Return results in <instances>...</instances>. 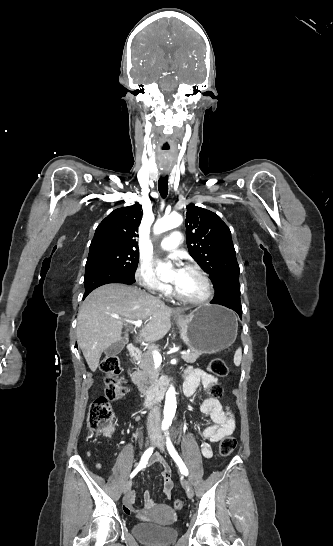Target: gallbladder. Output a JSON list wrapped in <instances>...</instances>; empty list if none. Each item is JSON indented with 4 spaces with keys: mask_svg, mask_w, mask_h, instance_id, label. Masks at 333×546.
Returning <instances> with one entry per match:
<instances>
[{
    "mask_svg": "<svg viewBox=\"0 0 333 546\" xmlns=\"http://www.w3.org/2000/svg\"><path fill=\"white\" fill-rule=\"evenodd\" d=\"M128 342V339L127 337H124L123 339H121L120 341L116 342V343H113L111 346H109L107 349H105V354L107 356H116L117 354H119L125 344Z\"/></svg>",
    "mask_w": 333,
    "mask_h": 546,
    "instance_id": "bac80fb5",
    "label": "gallbladder"
}]
</instances>
